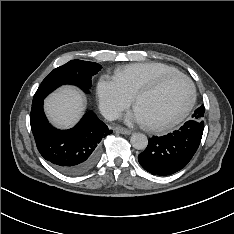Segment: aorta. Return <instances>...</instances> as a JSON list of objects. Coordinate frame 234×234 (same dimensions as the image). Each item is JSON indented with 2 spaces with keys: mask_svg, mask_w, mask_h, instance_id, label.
<instances>
[{
  "mask_svg": "<svg viewBox=\"0 0 234 234\" xmlns=\"http://www.w3.org/2000/svg\"><path fill=\"white\" fill-rule=\"evenodd\" d=\"M130 143L137 150H144L148 145L147 136L143 133H134L130 138Z\"/></svg>",
  "mask_w": 234,
  "mask_h": 234,
  "instance_id": "aorta-1",
  "label": "aorta"
}]
</instances>
